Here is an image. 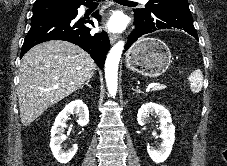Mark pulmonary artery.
Returning <instances> with one entry per match:
<instances>
[{
	"mask_svg": "<svg viewBox=\"0 0 227 166\" xmlns=\"http://www.w3.org/2000/svg\"><path fill=\"white\" fill-rule=\"evenodd\" d=\"M134 1H143V2H145L146 0H134Z\"/></svg>",
	"mask_w": 227,
	"mask_h": 166,
	"instance_id": "e3ab8cb5",
	"label": "pulmonary artery"
}]
</instances>
